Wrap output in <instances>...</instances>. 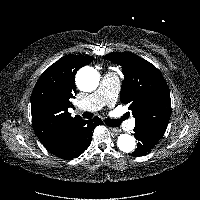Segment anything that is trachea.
I'll return each mask as SVG.
<instances>
[{
	"mask_svg": "<svg viewBox=\"0 0 200 200\" xmlns=\"http://www.w3.org/2000/svg\"><path fill=\"white\" fill-rule=\"evenodd\" d=\"M82 116L83 118L91 119L93 114L90 112H84ZM124 119L125 117H122L121 119H105V123L110 127H118Z\"/></svg>",
	"mask_w": 200,
	"mask_h": 200,
	"instance_id": "3493384b",
	"label": "trachea"
}]
</instances>
